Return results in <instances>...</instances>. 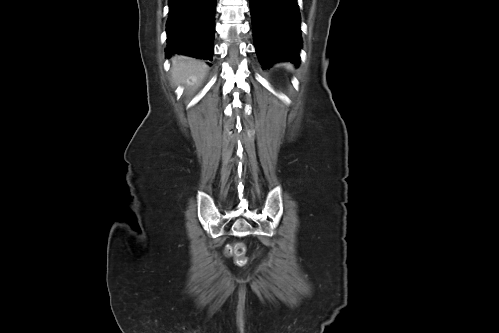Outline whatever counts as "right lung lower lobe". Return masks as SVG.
Here are the masks:
<instances>
[{"instance_id":"98d812e1","label":"right lung lower lobe","mask_w":499,"mask_h":333,"mask_svg":"<svg viewBox=\"0 0 499 333\" xmlns=\"http://www.w3.org/2000/svg\"><path fill=\"white\" fill-rule=\"evenodd\" d=\"M216 0H169L167 54L212 60Z\"/></svg>"}]
</instances>
